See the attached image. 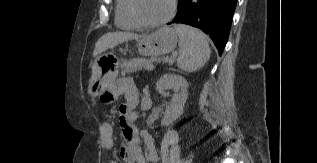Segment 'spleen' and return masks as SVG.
<instances>
[{
	"instance_id": "spleen-1",
	"label": "spleen",
	"mask_w": 317,
	"mask_h": 163,
	"mask_svg": "<svg viewBox=\"0 0 317 163\" xmlns=\"http://www.w3.org/2000/svg\"><path fill=\"white\" fill-rule=\"evenodd\" d=\"M179 37L178 67L184 72H195L210 58L211 50L207 36L200 30L182 24L174 26Z\"/></svg>"
}]
</instances>
